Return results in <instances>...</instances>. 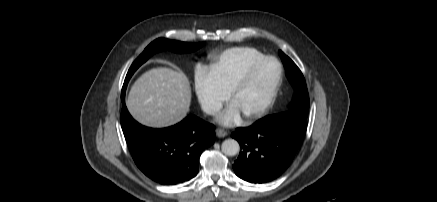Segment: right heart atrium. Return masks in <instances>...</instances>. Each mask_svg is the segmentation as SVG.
Segmentation results:
<instances>
[{"instance_id":"d8ad5b80","label":"right heart atrium","mask_w":437,"mask_h":202,"mask_svg":"<svg viewBox=\"0 0 437 202\" xmlns=\"http://www.w3.org/2000/svg\"><path fill=\"white\" fill-rule=\"evenodd\" d=\"M194 92L202 110L217 114L229 99L230 91L218 80L211 68L199 65L194 73Z\"/></svg>"}]
</instances>
